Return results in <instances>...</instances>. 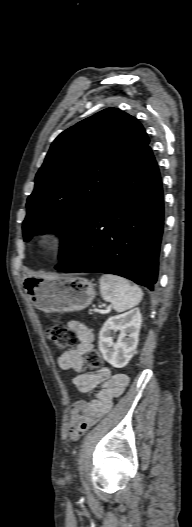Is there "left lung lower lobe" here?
Here are the masks:
<instances>
[{
  "mask_svg": "<svg viewBox=\"0 0 192 527\" xmlns=\"http://www.w3.org/2000/svg\"><path fill=\"white\" fill-rule=\"evenodd\" d=\"M163 224L162 182L148 145L115 180L55 269L115 274L153 290Z\"/></svg>",
  "mask_w": 192,
  "mask_h": 527,
  "instance_id": "0a47b994",
  "label": "left lung lower lobe"
}]
</instances>
